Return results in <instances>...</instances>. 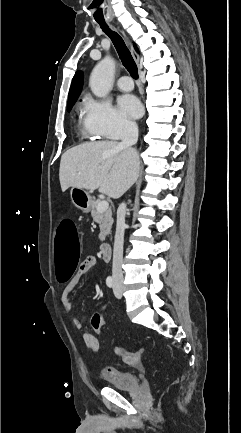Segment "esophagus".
Here are the masks:
<instances>
[{
    "label": "esophagus",
    "instance_id": "esophagus-1",
    "mask_svg": "<svg viewBox=\"0 0 241 433\" xmlns=\"http://www.w3.org/2000/svg\"><path fill=\"white\" fill-rule=\"evenodd\" d=\"M122 34L125 35L124 32H122ZM130 49H131V53H132L134 59L138 62L139 61L138 54L136 53V51L134 50V48L132 46Z\"/></svg>",
    "mask_w": 241,
    "mask_h": 433
}]
</instances>
